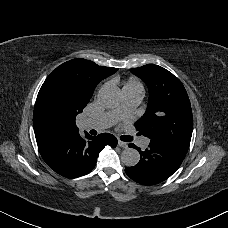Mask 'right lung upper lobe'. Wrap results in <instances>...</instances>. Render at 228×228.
<instances>
[{
    "mask_svg": "<svg viewBox=\"0 0 228 228\" xmlns=\"http://www.w3.org/2000/svg\"><path fill=\"white\" fill-rule=\"evenodd\" d=\"M117 70L85 59H73L57 67L37 96L33 113L37 144L78 133L76 115L90 101L97 84Z\"/></svg>",
    "mask_w": 228,
    "mask_h": 228,
    "instance_id": "1",
    "label": "right lung upper lobe"
}]
</instances>
